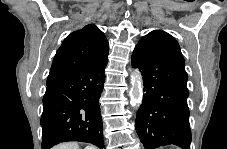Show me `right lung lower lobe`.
<instances>
[{
	"mask_svg": "<svg viewBox=\"0 0 227 149\" xmlns=\"http://www.w3.org/2000/svg\"><path fill=\"white\" fill-rule=\"evenodd\" d=\"M107 62L47 84L40 120L42 149H50L65 141L104 147L99 98Z\"/></svg>",
	"mask_w": 227,
	"mask_h": 149,
	"instance_id": "1",
	"label": "right lung lower lobe"
}]
</instances>
